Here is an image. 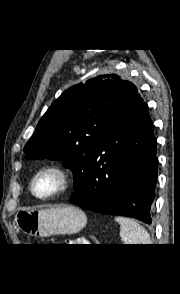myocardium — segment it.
<instances>
[{
    "label": "myocardium",
    "instance_id": "f54148a6",
    "mask_svg": "<svg viewBox=\"0 0 180 294\" xmlns=\"http://www.w3.org/2000/svg\"><path fill=\"white\" fill-rule=\"evenodd\" d=\"M46 173H53V174L57 175L59 177L60 184H59L58 188H56L51 193H48L46 195H41V194L37 193L36 188H35V184H36V180L38 179V177H40L41 175L46 174ZM72 184H73V177H72V173L69 170V168L61 163H51V164L41 168L40 170H38L34 174V176L31 179V182H30V190H31V193L35 197L42 199V200H48V199H52V198L64 193L65 191H67L71 187Z\"/></svg>",
    "mask_w": 180,
    "mask_h": 294
}]
</instances>
